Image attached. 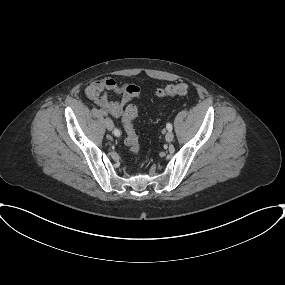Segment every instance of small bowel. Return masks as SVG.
Returning a JSON list of instances; mask_svg holds the SVG:
<instances>
[{"label": "small bowel", "mask_w": 285, "mask_h": 285, "mask_svg": "<svg viewBox=\"0 0 285 285\" xmlns=\"http://www.w3.org/2000/svg\"><path fill=\"white\" fill-rule=\"evenodd\" d=\"M110 93L117 95L119 99L110 100L108 96ZM85 95L106 114L117 118L122 115L125 106L131 100L140 97L141 89L135 83L118 84L114 79L107 77L91 82L85 88Z\"/></svg>", "instance_id": "1"}]
</instances>
